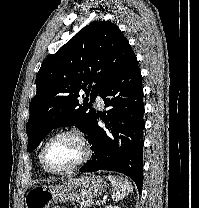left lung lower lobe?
<instances>
[{"label":"left lung lower lobe","instance_id":"left-lung-lower-lobe-1","mask_svg":"<svg viewBox=\"0 0 199 208\" xmlns=\"http://www.w3.org/2000/svg\"><path fill=\"white\" fill-rule=\"evenodd\" d=\"M104 104L106 128L98 126L97 114L92 122L89 143L94 151L81 172L109 170L132 178L139 193L143 184L144 104L141 72L133 55L100 91Z\"/></svg>","mask_w":199,"mask_h":208}]
</instances>
